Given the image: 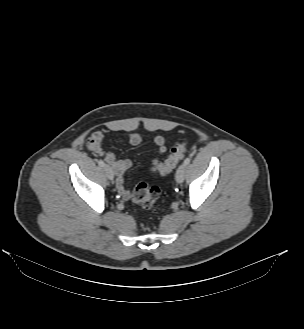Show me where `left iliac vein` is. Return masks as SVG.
Segmentation results:
<instances>
[{
  "label": "left iliac vein",
  "mask_w": 304,
  "mask_h": 329,
  "mask_svg": "<svg viewBox=\"0 0 304 329\" xmlns=\"http://www.w3.org/2000/svg\"><path fill=\"white\" fill-rule=\"evenodd\" d=\"M185 170H186V166L184 164H181L175 174V179L177 181V183H182L184 181V177H185Z\"/></svg>",
  "instance_id": "left-iliac-vein-1"
}]
</instances>
